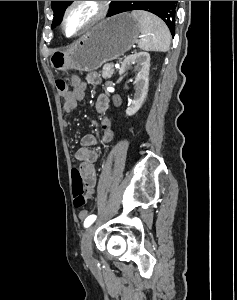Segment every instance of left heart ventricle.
<instances>
[{
	"label": "left heart ventricle",
	"instance_id": "obj_1",
	"mask_svg": "<svg viewBox=\"0 0 237 300\" xmlns=\"http://www.w3.org/2000/svg\"><path fill=\"white\" fill-rule=\"evenodd\" d=\"M96 7L92 2L84 3L73 10L70 14L66 31L68 34L76 33L95 13Z\"/></svg>",
	"mask_w": 237,
	"mask_h": 300
}]
</instances>
